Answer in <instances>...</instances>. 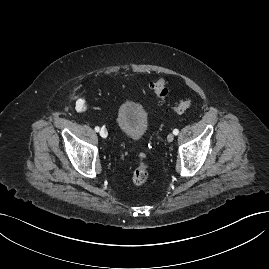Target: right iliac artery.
<instances>
[{"label":"right iliac artery","instance_id":"1","mask_svg":"<svg viewBox=\"0 0 269 269\" xmlns=\"http://www.w3.org/2000/svg\"><path fill=\"white\" fill-rule=\"evenodd\" d=\"M100 128L98 126L95 127V131L98 132Z\"/></svg>","mask_w":269,"mask_h":269}]
</instances>
